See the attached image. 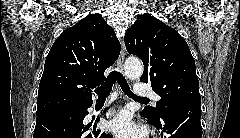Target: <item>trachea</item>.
I'll use <instances>...</instances> for the list:
<instances>
[{
	"label": "trachea",
	"instance_id": "3493384b",
	"mask_svg": "<svg viewBox=\"0 0 240 138\" xmlns=\"http://www.w3.org/2000/svg\"><path fill=\"white\" fill-rule=\"evenodd\" d=\"M116 80L119 83L124 94L127 95L128 97H130L134 100H138V101H148L149 100L147 98H141V97H137L136 95H134V93L131 91L125 77H123V75L116 70L112 71L109 74L108 78L106 79L105 83L102 86L95 89V92L97 93L99 99L106 98L109 96V94L112 90V86Z\"/></svg>",
	"mask_w": 240,
	"mask_h": 138
}]
</instances>
